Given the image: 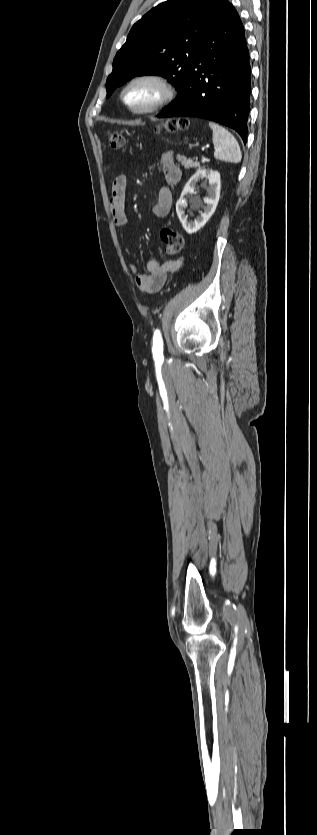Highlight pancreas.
Listing matches in <instances>:
<instances>
[{"instance_id":"obj_1","label":"pancreas","mask_w":317,"mask_h":835,"mask_svg":"<svg viewBox=\"0 0 317 835\" xmlns=\"http://www.w3.org/2000/svg\"><path fill=\"white\" fill-rule=\"evenodd\" d=\"M177 160L181 161V164H182V166H184L185 169L200 168V163L197 162V160H195V159H188L187 160L185 156L178 155Z\"/></svg>"}]
</instances>
